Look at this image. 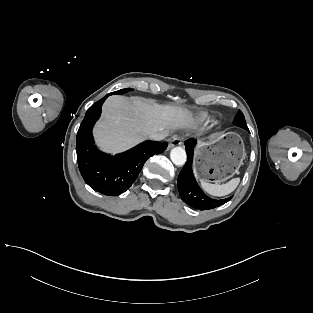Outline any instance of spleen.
Here are the masks:
<instances>
[{"label":"spleen","instance_id":"3e777b00","mask_svg":"<svg viewBox=\"0 0 313 313\" xmlns=\"http://www.w3.org/2000/svg\"><path fill=\"white\" fill-rule=\"evenodd\" d=\"M240 182V178H233L225 184H211L205 180H201V187L210 195L221 197L233 192Z\"/></svg>","mask_w":313,"mask_h":313}]
</instances>
